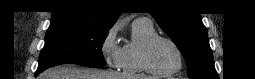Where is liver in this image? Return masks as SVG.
<instances>
[{
	"label": "liver",
	"mask_w": 255,
	"mask_h": 79,
	"mask_svg": "<svg viewBox=\"0 0 255 79\" xmlns=\"http://www.w3.org/2000/svg\"><path fill=\"white\" fill-rule=\"evenodd\" d=\"M38 79H151L148 76H128L113 71L79 68L65 64L49 68Z\"/></svg>",
	"instance_id": "6515ba94"
}]
</instances>
